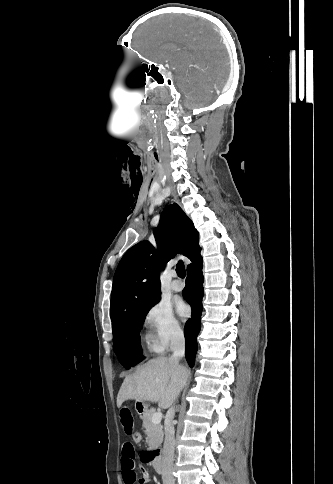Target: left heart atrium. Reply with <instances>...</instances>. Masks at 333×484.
I'll use <instances>...</instances> for the list:
<instances>
[{
  "label": "left heart atrium",
  "mask_w": 333,
  "mask_h": 484,
  "mask_svg": "<svg viewBox=\"0 0 333 484\" xmlns=\"http://www.w3.org/2000/svg\"><path fill=\"white\" fill-rule=\"evenodd\" d=\"M176 309H177V313L182 318H186L190 314V308H189V306L185 302H183V301H179L177 303Z\"/></svg>",
  "instance_id": "left-heart-atrium-1"
}]
</instances>
